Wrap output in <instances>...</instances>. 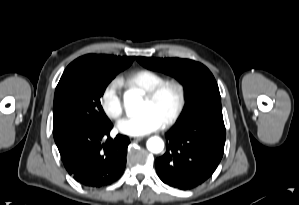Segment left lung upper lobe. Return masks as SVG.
<instances>
[{"label": "left lung upper lobe", "mask_w": 299, "mask_h": 205, "mask_svg": "<svg viewBox=\"0 0 299 205\" xmlns=\"http://www.w3.org/2000/svg\"><path fill=\"white\" fill-rule=\"evenodd\" d=\"M137 61L150 70L171 75L183 84L187 100L177 121L188 122L222 112L218 85L203 64L180 58L137 57Z\"/></svg>", "instance_id": "left-lung-upper-lobe-1"}]
</instances>
